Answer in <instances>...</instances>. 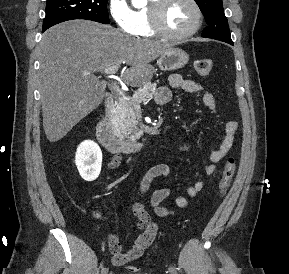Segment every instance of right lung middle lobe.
Here are the masks:
<instances>
[{
    "label": "right lung middle lobe",
    "mask_w": 289,
    "mask_h": 274,
    "mask_svg": "<svg viewBox=\"0 0 289 274\" xmlns=\"http://www.w3.org/2000/svg\"><path fill=\"white\" fill-rule=\"evenodd\" d=\"M107 2L108 0H47L42 30L73 19L109 24Z\"/></svg>",
    "instance_id": "dd1d6c3e"
}]
</instances>
